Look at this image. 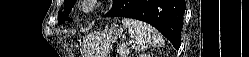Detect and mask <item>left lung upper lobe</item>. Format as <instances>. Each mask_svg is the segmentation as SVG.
Returning a JSON list of instances; mask_svg holds the SVG:
<instances>
[{
  "instance_id": "5c2ea615",
  "label": "left lung upper lobe",
  "mask_w": 249,
  "mask_h": 57,
  "mask_svg": "<svg viewBox=\"0 0 249 57\" xmlns=\"http://www.w3.org/2000/svg\"><path fill=\"white\" fill-rule=\"evenodd\" d=\"M114 1L115 0H113V2ZM75 2H76V0H64V12H65V14L59 12V15H58L59 16L58 24H61V23H63L66 20L71 21V19L68 18V15L70 13L71 8L74 6Z\"/></svg>"
}]
</instances>
